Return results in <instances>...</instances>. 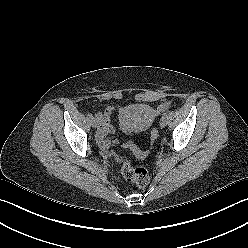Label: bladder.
<instances>
[{"label": "bladder", "mask_w": 248, "mask_h": 248, "mask_svg": "<svg viewBox=\"0 0 248 248\" xmlns=\"http://www.w3.org/2000/svg\"><path fill=\"white\" fill-rule=\"evenodd\" d=\"M123 121L135 132H143L155 120L154 110L147 104L137 103L128 106L122 113Z\"/></svg>", "instance_id": "31cf9c89"}]
</instances>
